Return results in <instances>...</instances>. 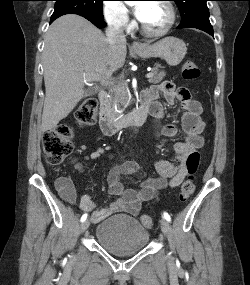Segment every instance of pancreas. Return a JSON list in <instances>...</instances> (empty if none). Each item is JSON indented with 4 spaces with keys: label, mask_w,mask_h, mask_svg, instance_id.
Instances as JSON below:
<instances>
[{
    "label": "pancreas",
    "mask_w": 250,
    "mask_h": 285,
    "mask_svg": "<svg viewBox=\"0 0 250 285\" xmlns=\"http://www.w3.org/2000/svg\"><path fill=\"white\" fill-rule=\"evenodd\" d=\"M153 76L149 78L148 82L151 84H157L161 82L165 77L164 71H159L158 68L152 69ZM128 102V95L124 82H119L112 88L110 97L105 101L104 109L111 116L116 117L120 106L126 105Z\"/></svg>",
    "instance_id": "obj_1"
}]
</instances>
